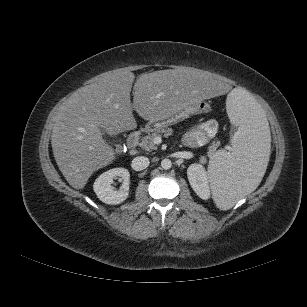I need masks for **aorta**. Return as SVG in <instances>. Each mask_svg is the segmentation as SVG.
<instances>
[{"mask_svg":"<svg viewBox=\"0 0 307 307\" xmlns=\"http://www.w3.org/2000/svg\"><path fill=\"white\" fill-rule=\"evenodd\" d=\"M161 167L164 169V170H168L172 167V162L170 159H163L161 161Z\"/></svg>","mask_w":307,"mask_h":307,"instance_id":"aorta-1","label":"aorta"}]
</instances>
